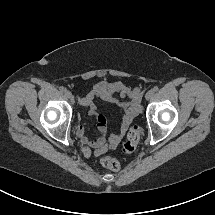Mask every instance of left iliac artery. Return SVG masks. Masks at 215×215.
<instances>
[{
  "instance_id": "44dca946",
  "label": "left iliac artery",
  "mask_w": 215,
  "mask_h": 215,
  "mask_svg": "<svg viewBox=\"0 0 215 215\" xmlns=\"http://www.w3.org/2000/svg\"><path fill=\"white\" fill-rule=\"evenodd\" d=\"M159 90V88L157 87V86H155L154 88H153V92H157Z\"/></svg>"
}]
</instances>
